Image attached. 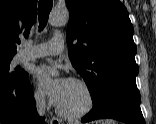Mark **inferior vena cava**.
<instances>
[{
  "label": "inferior vena cava",
  "instance_id": "602c4592",
  "mask_svg": "<svg viewBox=\"0 0 156 124\" xmlns=\"http://www.w3.org/2000/svg\"><path fill=\"white\" fill-rule=\"evenodd\" d=\"M36 108L39 115H43L45 113V97L44 95H35Z\"/></svg>",
  "mask_w": 156,
  "mask_h": 124
}]
</instances>
